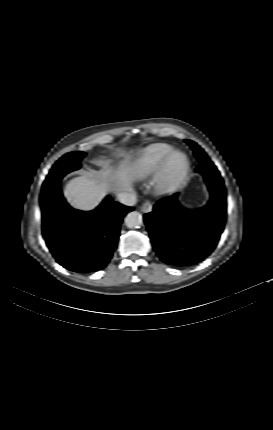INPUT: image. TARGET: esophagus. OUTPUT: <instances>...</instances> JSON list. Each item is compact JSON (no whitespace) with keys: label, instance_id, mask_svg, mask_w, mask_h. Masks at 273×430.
<instances>
[{"label":"esophagus","instance_id":"obj_1","mask_svg":"<svg viewBox=\"0 0 273 430\" xmlns=\"http://www.w3.org/2000/svg\"><path fill=\"white\" fill-rule=\"evenodd\" d=\"M141 212L143 213H149L152 211V203L150 201H146L142 204L140 208Z\"/></svg>","mask_w":273,"mask_h":430}]
</instances>
